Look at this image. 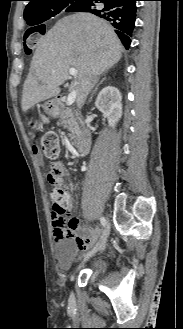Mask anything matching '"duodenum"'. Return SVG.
<instances>
[{"mask_svg":"<svg viewBox=\"0 0 183 329\" xmlns=\"http://www.w3.org/2000/svg\"><path fill=\"white\" fill-rule=\"evenodd\" d=\"M90 147H91L90 132L87 129H85L79 132L75 142V149L78 154L86 155L88 154Z\"/></svg>","mask_w":183,"mask_h":329,"instance_id":"obj_1","label":"duodenum"}]
</instances>
